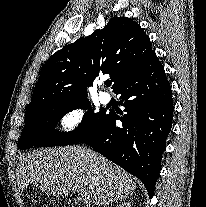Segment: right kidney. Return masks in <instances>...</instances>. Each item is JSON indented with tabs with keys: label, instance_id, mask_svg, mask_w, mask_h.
<instances>
[{
	"label": "right kidney",
	"instance_id": "ca27d5eb",
	"mask_svg": "<svg viewBox=\"0 0 206 207\" xmlns=\"http://www.w3.org/2000/svg\"><path fill=\"white\" fill-rule=\"evenodd\" d=\"M117 207H131L130 203H122L118 205Z\"/></svg>",
	"mask_w": 206,
	"mask_h": 207
}]
</instances>
